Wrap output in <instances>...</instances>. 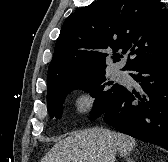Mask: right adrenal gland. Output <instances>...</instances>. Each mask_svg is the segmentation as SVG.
<instances>
[{
  "instance_id": "obj_1",
  "label": "right adrenal gland",
  "mask_w": 168,
  "mask_h": 162,
  "mask_svg": "<svg viewBox=\"0 0 168 162\" xmlns=\"http://www.w3.org/2000/svg\"><path fill=\"white\" fill-rule=\"evenodd\" d=\"M126 161H127V162H134V161L131 160L129 157H126Z\"/></svg>"
}]
</instances>
